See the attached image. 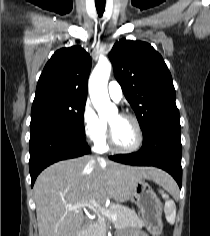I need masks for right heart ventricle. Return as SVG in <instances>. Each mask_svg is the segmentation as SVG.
Returning a JSON list of instances; mask_svg holds the SVG:
<instances>
[{
    "mask_svg": "<svg viewBox=\"0 0 210 236\" xmlns=\"http://www.w3.org/2000/svg\"><path fill=\"white\" fill-rule=\"evenodd\" d=\"M95 149L98 152H105L108 150V144H107L105 138L96 144Z\"/></svg>",
    "mask_w": 210,
    "mask_h": 236,
    "instance_id": "e07e8e85",
    "label": "right heart ventricle"
}]
</instances>
